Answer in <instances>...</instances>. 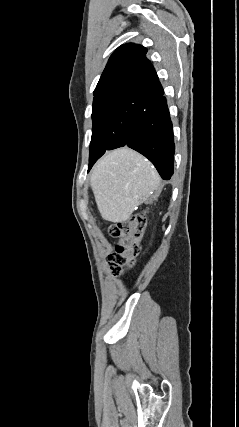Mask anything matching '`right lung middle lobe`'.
<instances>
[{"label": "right lung middle lobe", "mask_w": 239, "mask_h": 427, "mask_svg": "<svg viewBox=\"0 0 239 427\" xmlns=\"http://www.w3.org/2000/svg\"><path fill=\"white\" fill-rule=\"evenodd\" d=\"M146 106L147 100L138 97L105 99L93 103L89 169L106 150L124 145L136 117Z\"/></svg>", "instance_id": "right-lung-middle-lobe-1"}]
</instances>
